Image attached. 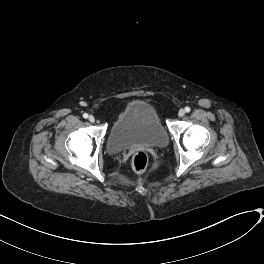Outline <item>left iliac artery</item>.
Instances as JSON below:
<instances>
[{"label":"left iliac artery","instance_id":"1","mask_svg":"<svg viewBox=\"0 0 264 264\" xmlns=\"http://www.w3.org/2000/svg\"><path fill=\"white\" fill-rule=\"evenodd\" d=\"M185 111H186V112H190V107H188V106L185 107Z\"/></svg>","mask_w":264,"mask_h":264}]
</instances>
